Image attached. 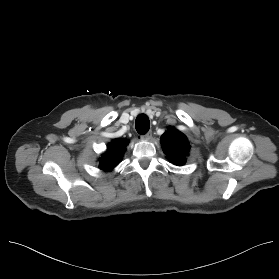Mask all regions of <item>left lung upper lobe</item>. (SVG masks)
Instances as JSON below:
<instances>
[{
    "mask_svg": "<svg viewBox=\"0 0 279 279\" xmlns=\"http://www.w3.org/2000/svg\"><path fill=\"white\" fill-rule=\"evenodd\" d=\"M161 144L170 162L178 166L185 164L190 150V143L183 133L169 127L168 131L161 136Z\"/></svg>",
    "mask_w": 279,
    "mask_h": 279,
    "instance_id": "1",
    "label": "left lung upper lobe"
}]
</instances>
